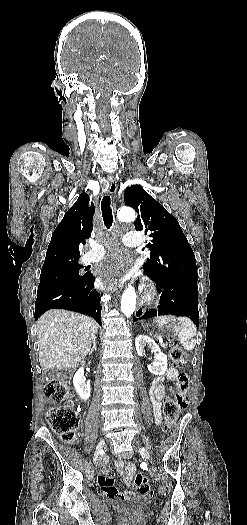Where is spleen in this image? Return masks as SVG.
<instances>
[{
	"mask_svg": "<svg viewBox=\"0 0 247 525\" xmlns=\"http://www.w3.org/2000/svg\"><path fill=\"white\" fill-rule=\"evenodd\" d=\"M155 321L156 325H166V323H172V321H179L178 325L179 327H175L178 335L177 339L183 347V349H186V351H193L196 341L194 339L196 335V327L193 323V321H190V319H187V317H171V315H164V317H155L153 319Z\"/></svg>",
	"mask_w": 247,
	"mask_h": 525,
	"instance_id": "1",
	"label": "spleen"
}]
</instances>
